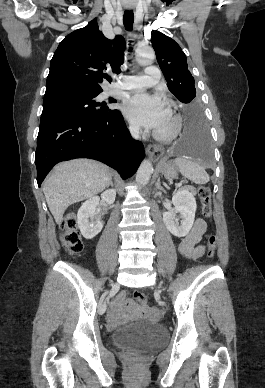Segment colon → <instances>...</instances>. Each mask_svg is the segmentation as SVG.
<instances>
[{
	"mask_svg": "<svg viewBox=\"0 0 265 388\" xmlns=\"http://www.w3.org/2000/svg\"><path fill=\"white\" fill-rule=\"evenodd\" d=\"M198 196L201 202L202 214L207 217H212V201L211 191L207 186H201L198 189ZM61 241L66 250L71 254H78L83 249V242L77 230L76 216L74 213H68L61 223ZM217 248V238L212 235L208 239V256L212 258L215 255ZM135 299L143 304L147 301V296L142 291L134 292ZM133 360L137 359L136 355H132Z\"/></svg>",
	"mask_w": 265,
	"mask_h": 388,
	"instance_id": "obj_1",
	"label": "colon"
}]
</instances>
